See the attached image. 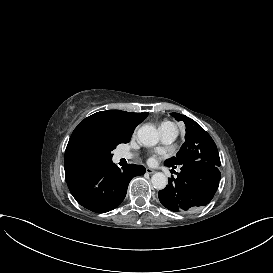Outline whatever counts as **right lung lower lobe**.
I'll return each instance as SVG.
<instances>
[{"instance_id": "1", "label": "right lung lower lobe", "mask_w": 273, "mask_h": 273, "mask_svg": "<svg viewBox=\"0 0 273 273\" xmlns=\"http://www.w3.org/2000/svg\"><path fill=\"white\" fill-rule=\"evenodd\" d=\"M144 173L141 165L129 164L121 171L110 161L84 173L68 187L80 205L96 213H105L121 204L130 180Z\"/></svg>"}]
</instances>
